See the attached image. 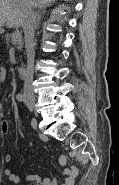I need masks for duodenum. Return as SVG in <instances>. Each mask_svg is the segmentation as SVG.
Here are the masks:
<instances>
[{
  "instance_id": "1",
  "label": "duodenum",
  "mask_w": 119,
  "mask_h": 185,
  "mask_svg": "<svg viewBox=\"0 0 119 185\" xmlns=\"http://www.w3.org/2000/svg\"><path fill=\"white\" fill-rule=\"evenodd\" d=\"M18 73H19V76L22 78V79H25L28 75V70L25 66H20L18 68Z\"/></svg>"
}]
</instances>
